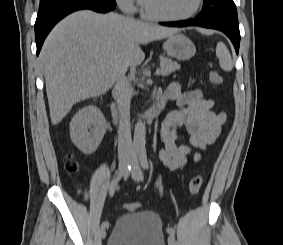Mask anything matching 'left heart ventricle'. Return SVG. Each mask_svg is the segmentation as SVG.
Listing matches in <instances>:
<instances>
[{"label": "left heart ventricle", "instance_id": "left-heart-ventricle-1", "mask_svg": "<svg viewBox=\"0 0 283 245\" xmlns=\"http://www.w3.org/2000/svg\"><path fill=\"white\" fill-rule=\"evenodd\" d=\"M143 3L151 13L176 17L191 11L196 0H143Z\"/></svg>", "mask_w": 283, "mask_h": 245}]
</instances>
